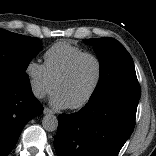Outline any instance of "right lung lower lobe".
Segmentation results:
<instances>
[{
    "mask_svg": "<svg viewBox=\"0 0 156 156\" xmlns=\"http://www.w3.org/2000/svg\"><path fill=\"white\" fill-rule=\"evenodd\" d=\"M42 111L29 83L0 78V156L9 154L25 124Z\"/></svg>",
    "mask_w": 156,
    "mask_h": 156,
    "instance_id": "1",
    "label": "right lung lower lobe"
}]
</instances>
